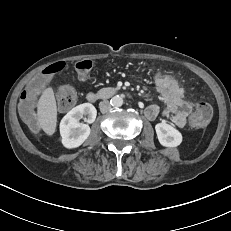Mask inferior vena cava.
Masks as SVG:
<instances>
[{"label": "inferior vena cava", "mask_w": 231, "mask_h": 231, "mask_svg": "<svg viewBox=\"0 0 231 231\" xmlns=\"http://www.w3.org/2000/svg\"><path fill=\"white\" fill-rule=\"evenodd\" d=\"M101 113H107L111 109V104L108 100H104L99 104Z\"/></svg>", "instance_id": "602c4592"}]
</instances>
